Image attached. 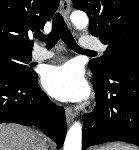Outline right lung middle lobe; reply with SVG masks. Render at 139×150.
<instances>
[{
	"instance_id": "dd1d6c3e",
	"label": "right lung middle lobe",
	"mask_w": 139,
	"mask_h": 150,
	"mask_svg": "<svg viewBox=\"0 0 139 150\" xmlns=\"http://www.w3.org/2000/svg\"><path fill=\"white\" fill-rule=\"evenodd\" d=\"M31 52L0 46V72L16 74L24 78H33L36 72L31 68Z\"/></svg>"
}]
</instances>
